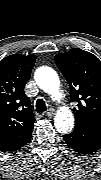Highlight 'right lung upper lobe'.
<instances>
[{
  "instance_id": "1",
  "label": "right lung upper lobe",
  "mask_w": 101,
  "mask_h": 180,
  "mask_svg": "<svg viewBox=\"0 0 101 180\" xmlns=\"http://www.w3.org/2000/svg\"><path fill=\"white\" fill-rule=\"evenodd\" d=\"M36 56L14 54L0 62V148L14 151L33 131L34 113L24 87Z\"/></svg>"
}]
</instances>
